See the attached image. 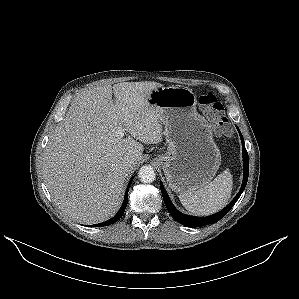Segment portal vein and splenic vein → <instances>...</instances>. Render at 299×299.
Returning <instances> with one entry per match:
<instances>
[{
	"label": "portal vein and splenic vein",
	"instance_id": "18ae733b",
	"mask_svg": "<svg viewBox=\"0 0 299 299\" xmlns=\"http://www.w3.org/2000/svg\"><path fill=\"white\" fill-rule=\"evenodd\" d=\"M124 128H122V127H120L119 129H118V131H117V133H118V135L120 136V137H123L124 136Z\"/></svg>",
	"mask_w": 299,
	"mask_h": 299
}]
</instances>
